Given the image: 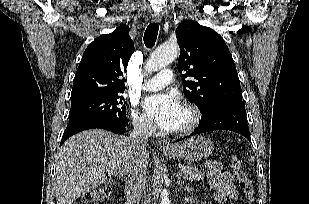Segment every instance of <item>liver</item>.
Wrapping results in <instances>:
<instances>
[{"label":"liver","mask_w":309,"mask_h":204,"mask_svg":"<svg viewBox=\"0 0 309 204\" xmlns=\"http://www.w3.org/2000/svg\"><path fill=\"white\" fill-rule=\"evenodd\" d=\"M149 163V152L139 158L128 138L92 129L68 139L56 155L57 204H72L78 197L106 182L105 171L127 177L134 167Z\"/></svg>","instance_id":"obj_1"}]
</instances>
